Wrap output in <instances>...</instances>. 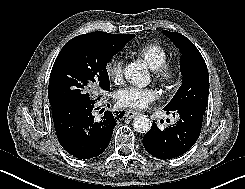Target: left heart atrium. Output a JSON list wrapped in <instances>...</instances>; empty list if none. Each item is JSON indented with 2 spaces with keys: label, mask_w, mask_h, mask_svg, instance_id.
I'll return each mask as SVG.
<instances>
[{
  "label": "left heart atrium",
  "mask_w": 245,
  "mask_h": 189,
  "mask_svg": "<svg viewBox=\"0 0 245 189\" xmlns=\"http://www.w3.org/2000/svg\"><path fill=\"white\" fill-rule=\"evenodd\" d=\"M157 97V92L152 88L127 86L119 90L117 99L125 107L143 108Z\"/></svg>",
  "instance_id": "1"
}]
</instances>
